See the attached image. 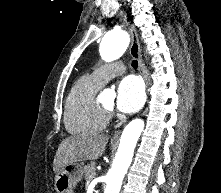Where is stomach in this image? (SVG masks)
<instances>
[{
  "mask_svg": "<svg viewBox=\"0 0 221 193\" xmlns=\"http://www.w3.org/2000/svg\"><path fill=\"white\" fill-rule=\"evenodd\" d=\"M83 168L80 164H69L56 172L55 189L58 193H72L82 179Z\"/></svg>",
  "mask_w": 221,
  "mask_h": 193,
  "instance_id": "1",
  "label": "stomach"
}]
</instances>
